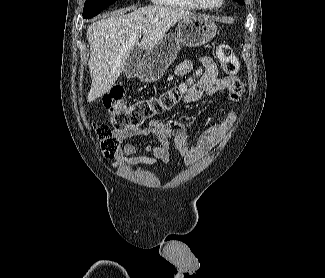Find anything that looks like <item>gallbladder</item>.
I'll list each match as a JSON object with an SVG mask.
<instances>
[{
  "label": "gallbladder",
  "mask_w": 325,
  "mask_h": 278,
  "mask_svg": "<svg viewBox=\"0 0 325 278\" xmlns=\"http://www.w3.org/2000/svg\"><path fill=\"white\" fill-rule=\"evenodd\" d=\"M142 55V49L139 46L133 47L130 51L123 69V74L127 78L136 77L139 72L140 58Z\"/></svg>",
  "instance_id": "1"
}]
</instances>
